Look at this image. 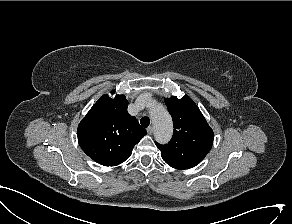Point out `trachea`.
I'll return each instance as SVG.
<instances>
[{"mask_svg": "<svg viewBox=\"0 0 292 224\" xmlns=\"http://www.w3.org/2000/svg\"><path fill=\"white\" fill-rule=\"evenodd\" d=\"M140 123L143 127L147 128L150 124V119L148 117H143L141 118Z\"/></svg>", "mask_w": 292, "mask_h": 224, "instance_id": "1", "label": "trachea"}]
</instances>
